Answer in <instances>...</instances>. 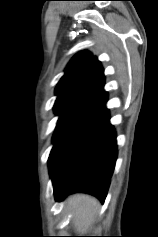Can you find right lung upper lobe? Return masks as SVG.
<instances>
[{"label":"right lung upper lobe","instance_id":"1","mask_svg":"<svg viewBox=\"0 0 158 237\" xmlns=\"http://www.w3.org/2000/svg\"><path fill=\"white\" fill-rule=\"evenodd\" d=\"M66 74L56 86V102L85 105L103 91L104 74L100 62L88 51L75 55L66 68Z\"/></svg>","mask_w":158,"mask_h":237}]
</instances>
